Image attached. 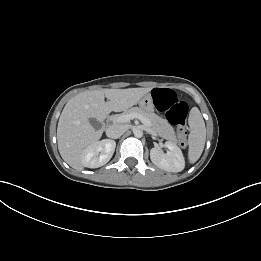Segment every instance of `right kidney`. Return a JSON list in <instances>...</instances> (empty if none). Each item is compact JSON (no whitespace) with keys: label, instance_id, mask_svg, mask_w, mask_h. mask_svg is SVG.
<instances>
[{"label":"right kidney","instance_id":"right-kidney-1","mask_svg":"<svg viewBox=\"0 0 261 261\" xmlns=\"http://www.w3.org/2000/svg\"><path fill=\"white\" fill-rule=\"evenodd\" d=\"M116 143L113 140L104 139L86 147L82 153L83 166L98 168L105 165L115 151Z\"/></svg>","mask_w":261,"mask_h":261}]
</instances>
